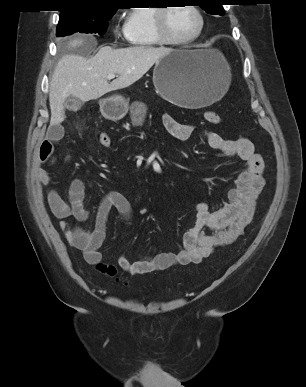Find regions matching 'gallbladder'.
Segmentation results:
<instances>
[{"label": "gallbladder", "mask_w": 306, "mask_h": 387, "mask_svg": "<svg viewBox=\"0 0 306 387\" xmlns=\"http://www.w3.org/2000/svg\"><path fill=\"white\" fill-rule=\"evenodd\" d=\"M78 104L79 99L76 97H68L64 102V106L69 110H76Z\"/></svg>", "instance_id": "gallbladder-1"}]
</instances>
